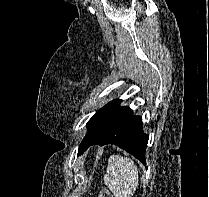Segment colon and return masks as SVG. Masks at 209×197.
<instances>
[{
  "label": "colon",
  "mask_w": 209,
  "mask_h": 197,
  "mask_svg": "<svg viewBox=\"0 0 209 197\" xmlns=\"http://www.w3.org/2000/svg\"><path fill=\"white\" fill-rule=\"evenodd\" d=\"M97 197H113L111 192L108 191L107 189H102L99 193Z\"/></svg>",
  "instance_id": "5ec220e1"
}]
</instances>
